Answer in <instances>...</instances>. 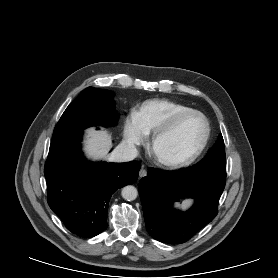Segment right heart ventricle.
Wrapping results in <instances>:
<instances>
[{
	"label": "right heart ventricle",
	"mask_w": 278,
	"mask_h": 278,
	"mask_svg": "<svg viewBox=\"0 0 278 278\" xmlns=\"http://www.w3.org/2000/svg\"><path fill=\"white\" fill-rule=\"evenodd\" d=\"M191 110L187 105L168 99H151L143 102L136 111L144 131L149 134L168 123L176 115Z\"/></svg>",
	"instance_id": "obj_1"
}]
</instances>
